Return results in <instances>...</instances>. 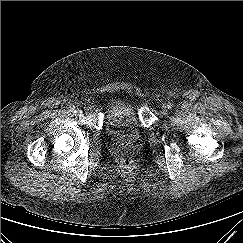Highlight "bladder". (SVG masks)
Listing matches in <instances>:
<instances>
[{
    "mask_svg": "<svg viewBox=\"0 0 243 243\" xmlns=\"http://www.w3.org/2000/svg\"><path fill=\"white\" fill-rule=\"evenodd\" d=\"M104 131L112 140L128 145L141 140L142 127L129 98L116 96L110 99L104 116Z\"/></svg>",
    "mask_w": 243,
    "mask_h": 243,
    "instance_id": "obj_1",
    "label": "bladder"
}]
</instances>
